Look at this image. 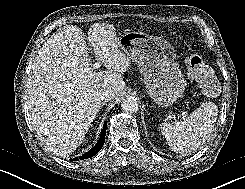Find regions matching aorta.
Wrapping results in <instances>:
<instances>
[{
  "label": "aorta",
  "instance_id": "obj_1",
  "mask_svg": "<svg viewBox=\"0 0 245 189\" xmlns=\"http://www.w3.org/2000/svg\"><path fill=\"white\" fill-rule=\"evenodd\" d=\"M121 107L126 113H135L139 110V102L134 97H127L122 101Z\"/></svg>",
  "mask_w": 245,
  "mask_h": 189
}]
</instances>
